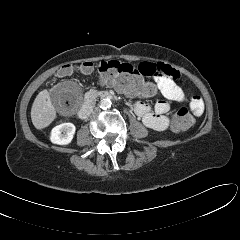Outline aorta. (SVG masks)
I'll return each instance as SVG.
<instances>
[{"label":"aorta","instance_id":"1","mask_svg":"<svg viewBox=\"0 0 240 240\" xmlns=\"http://www.w3.org/2000/svg\"><path fill=\"white\" fill-rule=\"evenodd\" d=\"M111 105H112L111 100L108 99V98H105V99H102V100L100 101L99 107H100L101 109L106 110V109L110 108Z\"/></svg>","mask_w":240,"mask_h":240}]
</instances>
